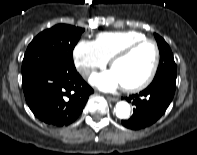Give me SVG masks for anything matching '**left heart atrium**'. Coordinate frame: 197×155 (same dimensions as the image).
Here are the masks:
<instances>
[{
    "label": "left heart atrium",
    "mask_w": 197,
    "mask_h": 155,
    "mask_svg": "<svg viewBox=\"0 0 197 155\" xmlns=\"http://www.w3.org/2000/svg\"><path fill=\"white\" fill-rule=\"evenodd\" d=\"M91 83L104 91H112L121 86V81L113 71H106L101 74H95L90 79Z\"/></svg>",
    "instance_id": "obj_1"
}]
</instances>
